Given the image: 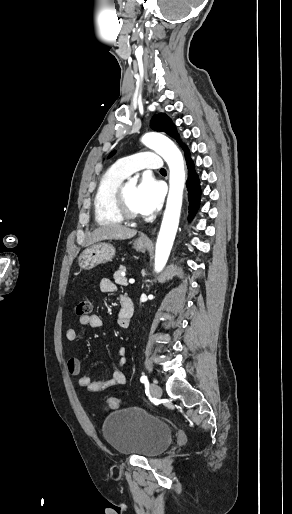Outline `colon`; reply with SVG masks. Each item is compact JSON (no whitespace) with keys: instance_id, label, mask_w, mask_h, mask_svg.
Masks as SVG:
<instances>
[{"instance_id":"colon-1","label":"colon","mask_w":292,"mask_h":514,"mask_svg":"<svg viewBox=\"0 0 292 514\" xmlns=\"http://www.w3.org/2000/svg\"><path fill=\"white\" fill-rule=\"evenodd\" d=\"M76 312L78 315H88L91 312V302L82 299L77 303ZM120 406V400L116 397H108L103 405L107 411H116Z\"/></svg>"}]
</instances>
